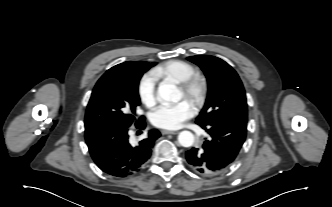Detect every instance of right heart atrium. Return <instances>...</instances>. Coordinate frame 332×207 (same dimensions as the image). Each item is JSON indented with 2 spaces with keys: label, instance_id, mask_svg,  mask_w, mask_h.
<instances>
[{
  "label": "right heart atrium",
  "instance_id": "d8ad5b80",
  "mask_svg": "<svg viewBox=\"0 0 332 207\" xmlns=\"http://www.w3.org/2000/svg\"><path fill=\"white\" fill-rule=\"evenodd\" d=\"M138 95L141 102L147 106L152 107L157 101L156 96V78L153 74H145L138 84Z\"/></svg>",
  "mask_w": 332,
  "mask_h": 207
}]
</instances>
